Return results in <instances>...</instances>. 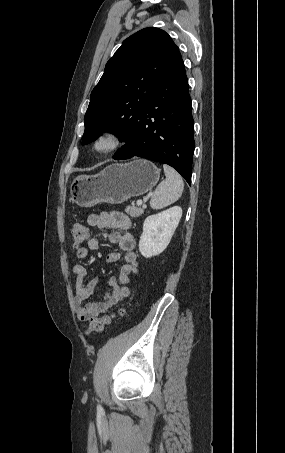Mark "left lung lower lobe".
<instances>
[{
	"instance_id": "1",
	"label": "left lung lower lobe",
	"mask_w": 285,
	"mask_h": 453,
	"mask_svg": "<svg viewBox=\"0 0 285 453\" xmlns=\"http://www.w3.org/2000/svg\"><path fill=\"white\" fill-rule=\"evenodd\" d=\"M188 79L178 50L113 159L133 156L172 166L191 184L195 142Z\"/></svg>"
}]
</instances>
